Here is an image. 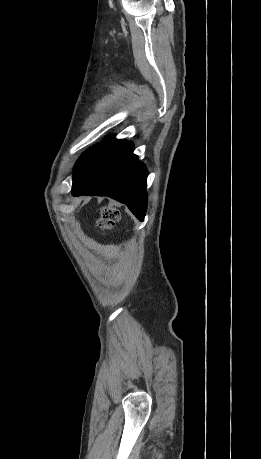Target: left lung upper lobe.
Instances as JSON below:
<instances>
[{"label":"left lung upper lobe","mask_w":261,"mask_h":459,"mask_svg":"<svg viewBox=\"0 0 261 459\" xmlns=\"http://www.w3.org/2000/svg\"><path fill=\"white\" fill-rule=\"evenodd\" d=\"M109 139V138H108ZM107 139V140H108ZM106 140V141H107ZM106 141H103L101 143H99L98 145L90 148L89 150H87L84 154H82V156L79 158V160L77 161L76 163V166H75V171L100 147L102 146ZM74 171V172H75Z\"/></svg>","instance_id":"1"}]
</instances>
